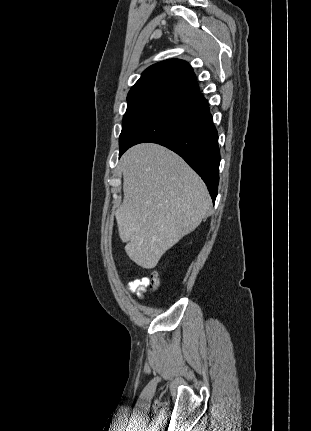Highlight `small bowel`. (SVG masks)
I'll use <instances>...</instances> for the list:
<instances>
[{"instance_id":"1","label":"small bowel","mask_w":311,"mask_h":431,"mask_svg":"<svg viewBox=\"0 0 311 431\" xmlns=\"http://www.w3.org/2000/svg\"><path fill=\"white\" fill-rule=\"evenodd\" d=\"M149 284L150 279L148 277H144L130 281L127 285V288L132 293H135L139 299H143Z\"/></svg>"}]
</instances>
